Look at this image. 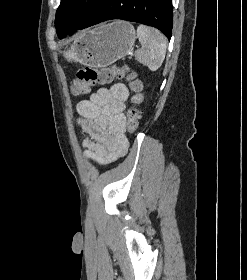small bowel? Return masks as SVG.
Returning a JSON list of instances; mask_svg holds the SVG:
<instances>
[{"label":"small bowel","instance_id":"obj_1","mask_svg":"<svg viewBox=\"0 0 247 280\" xmlns=\"http://www.w3.org/2000/svg\"><path fill=\"white\" fill-rule=\"evenodd\" d=\"M128 96L127 87L116 83L110 88H100L89 99L78 103L79 124L88 135L83 141L87 158L106 164L126 153L124 109Z\"/></svg>","mask_w":247,"mask_h":280}]
</instances>
